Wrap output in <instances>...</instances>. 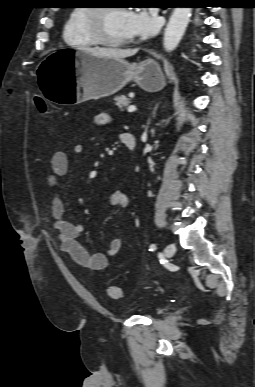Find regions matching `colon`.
<instances>
[{
	"label": "colon",
	"mask_w": 255,
	"mask_h": 387,
	"mask_svg": "<svg viewBox=\"0 0 255 387\" xmlns=\"http://www.w3.org/2000/svg\"><path fill=\"white\" fill-rule=\"evenodd\" d=\"M35 104L41 113H43V114L46 113L47 106H46V103L43 99L37 97L35 99ZM107 293H108L109 297L112 299H119L122 296V290L118 286H109L107 288Z\"/></svg>",
	"instance_id": "5ec220e1"
}]
</instances>
